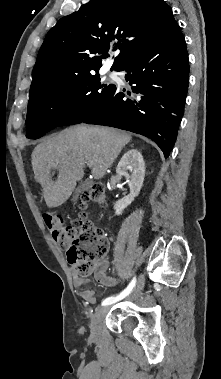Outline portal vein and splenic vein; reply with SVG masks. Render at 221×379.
Here are the masks:
<instances>
[{
    "label": "portal vein and splenic vein",
    "mask_w": 221,
    "mask_h": 379,
    "mask_svg": "<svg viewBox=\"0 0 221 379\" xmlns=\"http://www.w3.org/2000/svg\"><path fill=\"white\" fill-rule=\"evenodd\" d=\"M87 165H88L89 167H91V166H92V165H91V163H88Z\"/></svg>",
    "instance_id": "obj_1"
}]
</instances>
